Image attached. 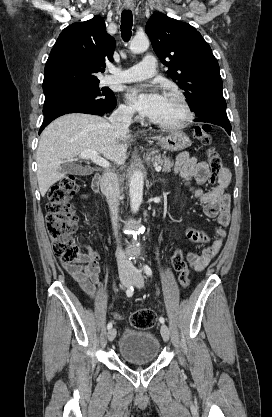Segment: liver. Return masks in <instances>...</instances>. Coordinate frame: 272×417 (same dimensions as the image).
I'll return each instance as SVG.
<instances>
[{
	"instance_id": "liver-1",
	"label": "liver",
	"mask_w": 272,
	"mask_h": 417,
	"mask_svg": "<svg viewBox=\"0 0 272 417\" xmlns=\"http://www.w3.org/2000/svg\"><path fill=\"white\" fill-rule=\"evenodd\" d=\"M131 135L114 128L106 119L89 114H68L42 132L37 149V179L42 196L62 179L61 164L84 150H94L117 165L127 158L126 141Z\"/></svg>"
}]
</instances>
